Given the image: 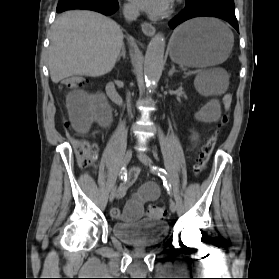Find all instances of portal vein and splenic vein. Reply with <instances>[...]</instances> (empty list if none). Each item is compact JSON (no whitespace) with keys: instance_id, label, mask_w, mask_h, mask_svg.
<instances>
[{"instance_id":"portal-vein-and-splenic-vein-1","label":"portal vein and splenic vein","mask_w":279,"mask_h":279,"mask_svg":"<svg viewBox=\"0 0 279 279\" xmlns=\"http://www.w3.org/2000/svg\"><path fill=\"white\" fill-rule=\"evenodd\" d=\"M191 74H195V73H197V71H194V72H190Z\"/></svg>"}]
</instances>
